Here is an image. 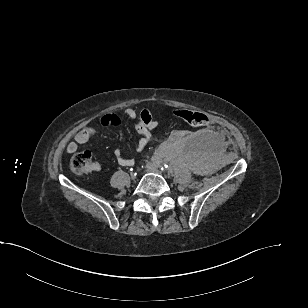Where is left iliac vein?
<instances>
[{
  "mask_svg": "<svg viewBox=\"0 0 308 308\" xmlns=\"http://www.w3.org/2000/svg\"><path fill=\"white\" fill-rule=\"evenodd\" d=\"M146 170H147L148 172H153V173L159 174V175H162V174H163V172L158 168V165H157V164H154V163H149V164H147Z\"/></svg>",
  "mask_w": 308,
  "mask_h": 308,
  "instance_id": "4c4485c4",
  "label": "left iliac vein"
}]
</instances>
